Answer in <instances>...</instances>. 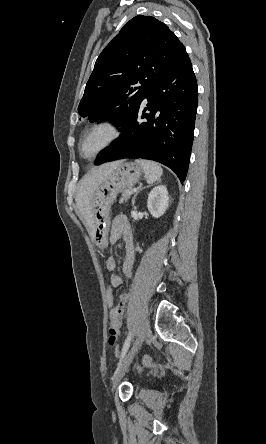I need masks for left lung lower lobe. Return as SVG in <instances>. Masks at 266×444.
<instances>
[{"mask_svg": "<svg viewBox=\"0 0 266 444\" xmlns=\"http://www.w3.org/2000/svg\"><path fill=\"white\" fill-rule=\"evenodd\" d=\"M144 99L147 107L142 111L141 102L122 125L124 135L100 152L94 164L122 158L154 160L171 168L183 183L198 102L197 81L188 54L150 88Z\"/></svg>", "mask_w": 266, "mask_h": 444, "instance_id": "0a47b994", "label": "left lung lower lobe"}]
</instances>
